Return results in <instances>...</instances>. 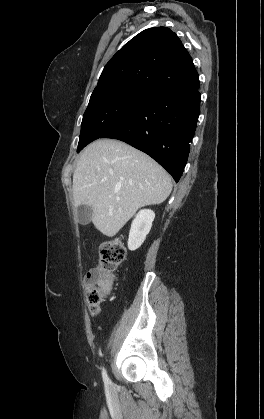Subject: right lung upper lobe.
I'll return each instance as SVG.
<instances>
[{
  "instance_id": "right-lung-upper-lobe-1",
  "label": "right lung upper lobe",
  "mask_w": 264,
  "mask_h": 419,
  "mask_svg": "<svg viewBox=\"0 0 264 419\" xmlns=\"http://www.w3.org/2000/svg\"><path fill=\"white\" fill-rule=\"evenodd\" d=\"M199 82L193 61L178 36L166 27L142 31L105 65L98 84H127L156 94Z\"/></svg>"
}]
</instances>
